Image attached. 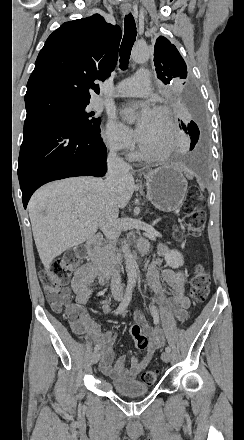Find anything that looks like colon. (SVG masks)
<instances>
[{
    "instance_id": "1",
    "label": "colon",
    "mask_w": 244,
    "mask_h": 440,
    "mask_svg": "<svg viewBox=\"0 0 244 440\" xmlns=\"http://www.w3.org/2000/svg\"><path fill=\"white\" fill-rule=\"evenodd\" d=\"M185 223L192 236H199L205 227L206 212L199 192H194L184 207ZM173 229L181 227L180 222L172 224ZM175 237H180V232H175ZM65 258L53 262L49 269L41 272L40 281L46 297L54 309L60 312L65 309L67 318L71 321L75 332L80 333L87 326L86 311L81 305L71 304V292L68 287L70 274L77 267L80 257H83V248H65ZM211 283L210 274L202 266H197L193 271L192 289L190 296L195 303H203L209 295ZM134 337L135 348L144 351L148 348V338L141 332L137 324L132 326L129 332ZM158 377L157 368H149L143 371L141 379L146 384H152Z\"/></svg>"
}]
</instances>
